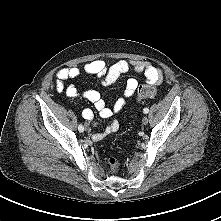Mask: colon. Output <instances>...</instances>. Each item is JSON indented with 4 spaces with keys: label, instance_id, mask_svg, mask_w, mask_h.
Masks as SVG:
<instances>
[{
    "label": "colon",
    "instance_id": "1",
    "mask_svg": "<svg viewBox=\"0 0 221 221\" xmlns=\"http://www.w3.org/2000/svg\"><path fill=\"white\" fill-rule=\"evenodd\" d=\"M155 95L156 87L154 85L145 84L140 86L138 89V99L152 98ZM108 163L113 171H116L120 166V160L115 156H111L108 159Z\"/></svg>",
    "mask_w": 221,
    "mask_h": 221
}]
</instances>
